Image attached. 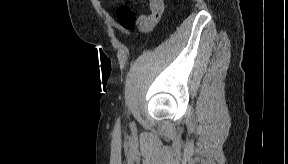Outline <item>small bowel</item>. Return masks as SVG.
I'll use <instances>...</instances> for the list:
<instances>
[{
  "mask_svg": "<svg viewBox=\"0 0 288 164\" xmlns=\"http://www.w3.org/2000/svg\"><path fill=\"white\" fill-rule=\"evenodd\" d=\"M150 14L141 16L147 21L146 25L142 27L143 30H151L159 21L164 12V3L162 0L150 1Z\"/></svg>",
  "mask_w": 288,
  "mask_h": 164,
  "instance_id": "small-bowel-1",
  "label": "small bowel"
}]
</instances>
